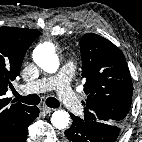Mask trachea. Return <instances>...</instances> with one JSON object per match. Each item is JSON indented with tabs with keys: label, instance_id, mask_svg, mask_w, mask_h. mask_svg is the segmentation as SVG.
<instances>
[{
	"label": "trachea",
	"instance_id": "obj_1",
	"mask_svg": "<svg viewBox=\"0 0 142 142\" xmlns=\"http://www.w3.org/2000/svg\"><path fill=\"white\" fill-rule=\"evenodd\" d=\"M16 101H21L28 105H37L40 103V98L36 94L21 96L16 91H13ZM46 105L50 108H58L60 106L59 101L56 98L49 97L46 99Z\"/></svg>",
	"mask_w": 142,
	"mask_h": 142
}]
</instances>
